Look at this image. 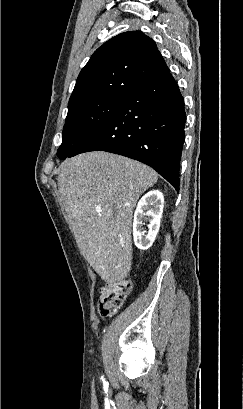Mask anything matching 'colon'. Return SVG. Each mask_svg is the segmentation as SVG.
Instances as JSON below:
<instances>
[{"instance_id": "colon-1", "label": "colon", "mask_w": 243, "mask_h": 409, "mask_svg": "<svg viewBox=\"0 0 243 409\" xmlns=\"http://www.w3.org/2000/svg\"><path fill=\"white\" fill-rule=\"evenodd\" d=\"M131 291V282L118 279L106 282L99 289L98 314L102 318L113 315L124 303Z\"/></svg>"}]
</instances>
